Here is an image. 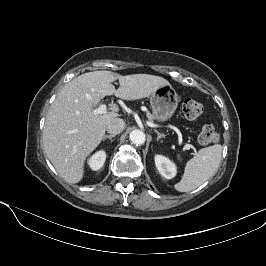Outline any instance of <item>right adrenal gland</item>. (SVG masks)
Returning <instances> with one entry per match:
<instances>
[{
	"mask_svg": "<svg viewBox=\"0 0 266 266\" xmlns=\"http://www.w3.org/2000/svg\"><path fill=\"white\" fill-rule=\"evenodd\" d=\"M116 135L112 134V135H105L104 138L102 139L103 141H106L107 139H110L112 142V138H114Z\"/></svg>",
	"mask_w": 266,
	"mask_h": 266,
	"instance_id": "2a0ac1e0",
	"label": "right adrenal gland"
}]
</instances>
